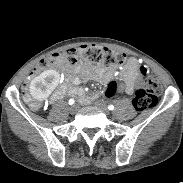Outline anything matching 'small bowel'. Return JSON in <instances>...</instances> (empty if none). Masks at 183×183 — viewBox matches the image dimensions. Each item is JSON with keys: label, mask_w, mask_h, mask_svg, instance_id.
<instances>
[{"label": "small bowel", "mask_w": 183, "mask_h": 183, "mask_svg": "<svg viewBox=\"0 0 183 183\" xmlns=\"http://www.w3.org/2000/svg\"><path fill=\"white\" fill-rule=\"evenodd\" d=\"M138 62L136 59L131 58L121 71L123 77V84H119L118 91H123L127 94H132L136 87L140 83L141 74L138 70ZM83 73L86 79L107 82L115 76V70L110 67L95 66L91 69H83ZM82 83V78L77 76L72 80L73 87H78ZM72 90L69 89L66 85L61 86L52 96V101L60 100L64 97L65 94L71 93Z\"/></svg>", "instance_id": "1"}]
</instances>
